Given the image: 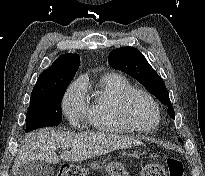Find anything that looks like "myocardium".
Listing matches in <instances>:
<instances>
[{
	"mask_svg": "<svg viewBox=\"0 0 205 176\" xmlns=\"http://www.w3.org/2000/svg\"><path fill=\"white\" fill-rule=\"evenodd\" d=\"M138 95L145 97L151 103V105L153 106L156 112L157 120L155 124L152 126L138 125L132 120L130 116V113H129L130 102L135 96H138ZM120 112H121V116L124 119V121L133 130H136V131H143V132L149 131L151 128L157 127L161 123V120H162V113H161V109H160L158 102L156 101V99L153 97L151 93L141 88H132L122 96L121 103H120Z\"/></svg>",
	"mask_w": 205,
	"mask_h": 176,
	"instance_id": "f54148a6",
	"label": "myocardium"
}]
</instances>
